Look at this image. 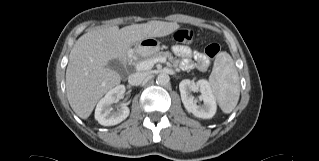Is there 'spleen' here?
I'll use <instances>...</instances> for the list:
<instances>
[{"mask_svg":"<svg viewBox=\"0 0 319 161\" xmlns=\"http://www.w3.org/2000/svg\"><path fill=\"white\" fill-rule=\"evenodd\" d=\"M209 85L221 110L228 114L236 107L240 96V82L237 68L227 52L217 54Z\"/></svg>","mask_w":319,"mask_h":161,"instance_id":"spleen-1","label":"spleen"}]
</instances>
